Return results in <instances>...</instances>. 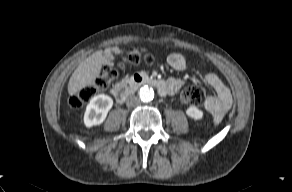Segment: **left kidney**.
I'll return each instance as SVG.
<instances>
[{
	"label": "left kidney",
	"instance_id": "1",
	"mask_svg": "<svg viewBox=\"0 0 292 192\" xmlns=\"http://www.w3.org/2000/svg\"><path fill=\"white\" fill-rule=\"evenodd\" d=\"M186 114L193 118L194 120H200L203 118V112L198 109L196 106H190L187 110H186Z\"/></svg>",
	"mask_w": 292,
	"mask_h": 192
}]
</instances>
